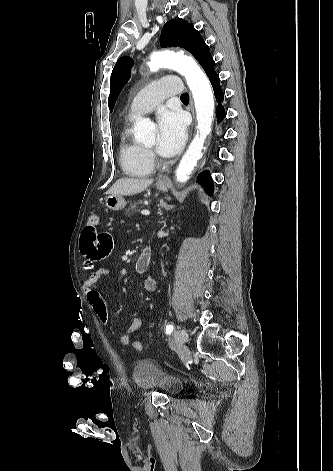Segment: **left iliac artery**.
<instances>
[{
  "mask_svg": "<svg viewBox=\"0 0 333 471\" xmlns=\"http://www.w3.org/2000/svg\"><path fill=\"white\" fill-rule=\"evenodd\" d=\"M174 329V326L172 324H168L165 328L166 334H171Z\"/></svg>",
  "mask_w": 333,
  "mask_h": 471,
  "instance_id": "44dca946",
  "label": "left iliac artery"
}]
</instances>
